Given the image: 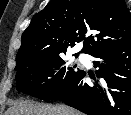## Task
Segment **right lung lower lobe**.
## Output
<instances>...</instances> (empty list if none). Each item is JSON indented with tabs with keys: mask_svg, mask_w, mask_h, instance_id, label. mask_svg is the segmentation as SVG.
Here are the masks:
<instances>
[{
	"mask_svg": "<svg viewBox=\"0 0 131 115\" xmlns=\"http://www.w3.org/2000/svg\"><path fill=\"white\" fill-rule=\"evenodd\" d=\"M92 56L100 79L87 84L82 71L57 99L87 115H131V44Z\"/></svg>",
	"mask_w": 131,
	"mask_h": 115,
	"instance_id": "98d812e1",
	"label": "right lung lower lobe"
}]
</instances>
